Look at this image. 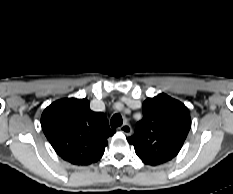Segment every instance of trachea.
Returning a JSON list of instances; mask_svg holds the SVG:
<instances>
[{
	"label": "trachea",
	"instance_id": "3493384b",
	"mask_svg": "<svg viewBox=\"0 0 233 194\" xmlns=\"http://www.w3.org/2000/svg\"><path fill=\"white\" fill-rule=\"evenodd\" d=\"M123 120L120 114H114L110 120L111 127L115 128L122 125Z\"/></svg>",
	"mask_w": 233,
	"mask_h": 194
}]
</instances>
